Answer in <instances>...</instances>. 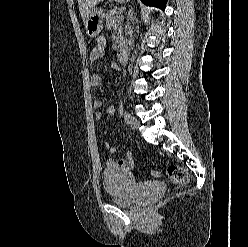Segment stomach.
I'll list each match as a JSON object with an SVG mask.
<instances>
[{"mask_svg":"<svg viewBox=\"0 0 248 247\" xmlns=\"http://www.w3.org/2000/svg\"><path fill=\"white\" fill-rule=\"evenodd\" d=\"M119 3L128 2L129 0H116ZM104 14L102 11L93 9L89 12L84 24L86 34L91 37H97L103 28Z\"/></svg>","mask_w":248,"mask_h":247,"instance_id":"1","label":"stomach"}]
</instances>
